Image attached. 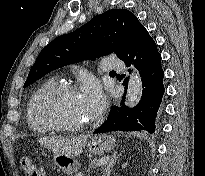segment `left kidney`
<instances>
[{
	"mask_svg": "<svg viewBox=\"0 0 205 176\" xmlns=\"http://www.w3.org/2000/svg\"><path fill=\"white\" fill-rule=\"evenodd\" d=\"M127 164H128V163H124V164L122 165V168H125V167L127 166Z\"/></svg>",
	"mask_w": 205,
	"mask_h": 176,
	"instance_id": "1",
	"label": "left kidney"
}]
</instances>
